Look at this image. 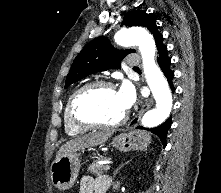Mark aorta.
I'll return each instance as SVG.
<instances>
[{
	"label": "aorta",
	"mask_w": 221,
	"mask_h": 193,
	"mask_svg": "<svg viewBox=\"0 0 221 193\" xmlns=\"http://www.w3.org/2000/svg\"><path fill=\"white\" fill-rule=\"evenodd\" d=\"M114 38L120 46L137 45L139 47L144 74L156 101V108L144 114L141 124L148 128L156 127L169 116L172 109V95L166 79L155 63V41L145 29L138 27L122 29Z\"/></svg>",
	"instance_id": "aorta-1"
}]
</instances>
